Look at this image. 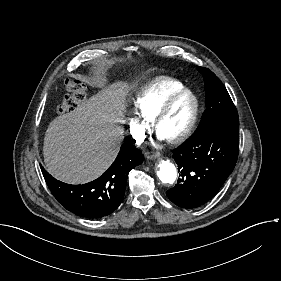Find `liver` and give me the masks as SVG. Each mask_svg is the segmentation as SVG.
Returning a JSON list of instances; mask_svg holds the SVG:
<instances>
[{
    "instance_id": "liver-1",
    "label": "liver",
    "mask_w": 281,
    "mask_h": 281,
    "mask_svg": "<svg viewBox=\"0 0 281 281\" xmlns=\"http://www.w3.org/2000/svg\"><path fill=\"white\" fill-rule=\"evenodd\" d=\"M129 88L127 83L113 84L49 124L43 154L53 176L84 183L113 163L124 138V128L118 124Z\"/></svg>"
}]
</instances>
